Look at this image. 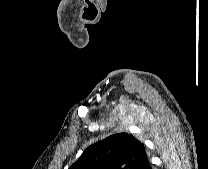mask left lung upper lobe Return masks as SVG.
Segmentation results:
<instances>
[{"label":"left lung upper lobe","instance_id":"1","mask_svg":"<svg viewBox=\"0 0 208 169\" xmlns=\"http://www.w3.org/2000/svg\"><path fill=\"white\" fill-rule=\"evenodd\" d=\"M143 144L127 133L111 135L87 147L69 169H144Z\"/></svg>","mask_w":208,"mask_h":169}]
</instances>
